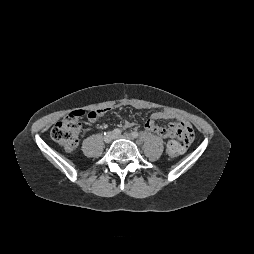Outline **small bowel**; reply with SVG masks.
<instances>
[{"label":"small bowel","instance_id":"obj_1","mask_svg":"<svg viewBox=\"0 0 254 254\" xmlns=\"http://www.w3.org/2000/svg\"><path fill=\"white\" fill-rule=\"evenodd\" d=\"M106 111H107L106 109H100L98 117L104 115L106 113ZM174 117H175L174 114L168 110L156 111L146 121L145 128L148 131L155 133L156 135H158L159 137H161L163 139L177 138V140L181 143V146H182L181 153H183L190 143V140L193 136V132L191 131V134L188 137H186V136L182 137V136H179V134L177 133V129L181 125L189 126L188 123L181 117H178L177 122H172L169 125V127H163V126H160L156 123L157 120H166V119H171ZM96 118H89L88 117V120L93 123V122H95ZM124 125H125V127H131V126H133V122L127 120V121H125Z\"/></svg>","mask_w":254,"mask_h":254}]
</instances>
